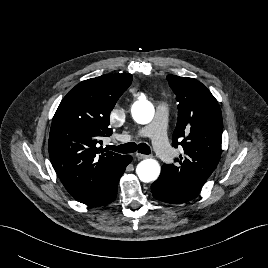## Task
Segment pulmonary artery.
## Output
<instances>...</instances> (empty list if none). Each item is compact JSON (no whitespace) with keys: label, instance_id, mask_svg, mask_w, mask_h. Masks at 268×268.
<instances>
[{"label":"pulmonary artery","instance_id":"1","mask_svg":"<svg viewBox=\"0 0 268 268\" xmlns=\"http://www.w3.org/2000/svg\"><path fill=\"white\" fill-rule=\"evenodd\" d=\"M168 105L164 102H161L157 106V118L156 121L149 126L142 127L139 130H136L134 134L129 136V139L132 138H142L149 137L153 139L154 149L159 155V157L166 161L170 162L173 159V151L169 146L167 137H166V126H167V115H168Z\"/></svg>","mask_w":268,"mask_h":268}]
</instances>
